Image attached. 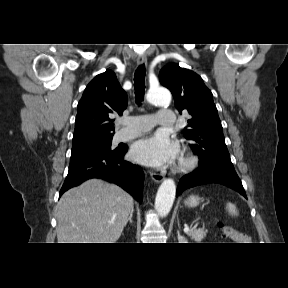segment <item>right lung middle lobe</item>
<instances>
[{"label": "right lung middle lobe", "mask_w": 288, "mask_h": 288, "mask_svg": "<svg viewBox=\"0 0 288 288\" xmlns=\"http://www.w3.org/2000/svg\"><path fill=\"white\" fill-rule=\"evenodd\" d=\"M111 141L112 137L90 145L73 147L70 162L81 160L90 155L113 151L111 148Z\"/></svg>", "instance_id": "dd1d6c3e"}]
</instances>
